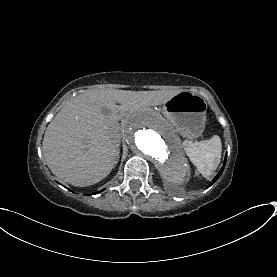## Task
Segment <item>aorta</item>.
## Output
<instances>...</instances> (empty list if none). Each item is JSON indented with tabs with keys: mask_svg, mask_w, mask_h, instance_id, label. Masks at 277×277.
Listing matches in <instances>:
<instances>
[{
	"mask_svg": "<svg viewBox=\"0 0 277 277\" xmlns=\"http://www.w3.org/2000/svg\"><path fill=\"white\" fill-rule=\"evenodd\" d=\"M125 139L134 153L149 161L162 178L173 184L184 182L189 166L181 142L159 114L141 111L127 122Z\"/></svg>",
	"mask_w": 277,
	"mask_h": 277,
	"instance_id": "1",
	"label": "aorta"
}]
</instances>
